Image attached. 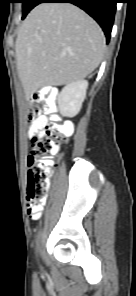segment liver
Segmentation results:
<instances>
[{"instance_id": "1", "label": "liver", "mask_w": 136, "mask_h": 296, "mask_svg": "<svg viewBox=\"0 0 136 296\" xmlns=\"http://www.w3.org/2000/svg\"><path fill=\"white\" fill-rule=\"evenodd\" d=\"M25 95L44 86L77 82L100 64L105 37L100 26L70 3H41L22 23L15 44Z\"/></svg>"}]
</instances>
